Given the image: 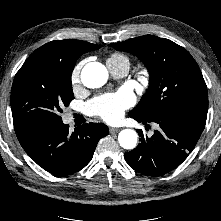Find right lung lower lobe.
<instances>
[{
  "instance_id": "obj_1",
  "label": "right lung lower lobe",
  "mask_w": 221,
  "mask_h": 221,
  "mask_svg": "<svg viewBox=\"0 0 221 221\" xmlns=\"http://www.w3.org/2000/svg\"><path fill=\"white\" fill-rule=\"evenodd\" d=\"M26 151L40 167L66 176L83 169L92 159L98 141L108 135L105 124L88 123L70 133L68 125H33L15 131Z\"/></svg>"
}]
</instances>
